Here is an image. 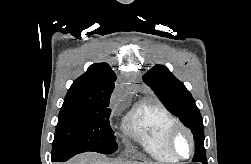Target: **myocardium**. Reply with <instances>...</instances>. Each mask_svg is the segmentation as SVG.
Returning a JSON list of instances; mask_svg holds the SVG:
<instances>
[{
  "mask_svg": "<svg viewBox=\"0 0 251 164\" xmlns=\"http://www.w3.org/2000/svg\"><path fill=\"white\" fill-rule=\"evenodd\" d=\"M183 133L186 135L189 144H190V150L189 153L186 156H181L179 154H177L174 151V141L176 139V137L180 134ZM165 149L167 151V153L175 160H188L189 158H191L194 154L195 151V140L193 137V134L191 132V130L185 126L183 123L181 122H175L167 131L166 136H165Z\"/></svg>",
  "mask_w": 251,
  "mask_h": 164,
  "instance_id": "obj_1",
  "label": "myocardium"
}]
</instances>
